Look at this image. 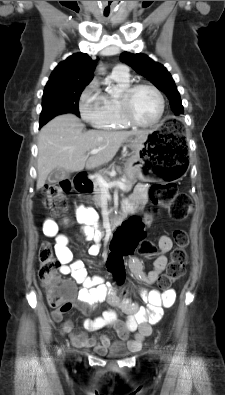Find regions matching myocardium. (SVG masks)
Segmentation results:
<instances>
[{
  "label": "myocardium",
  "mask_w": 225,
  "mask_h": 395,
  "mask_svg": "<svg viewBox=\"0 0 225 395\" xmlns=\"http://www.w3.org/2000/svg\"><path fill=\"white\" fill-rule=\"evenodd\" d=\"M142 88L149 89L155 93L159 101V113L156 119L150 123H141L137 121L131 112V101L134 94ZM119 106L123 120L129 125L138 128H151L156 126L162 119L165 111V100L161 91L154 85L148 83H137L129 85L121 91L119 96Z\"/></svg>",
  "instance_id": "1"
}]
</instances>
